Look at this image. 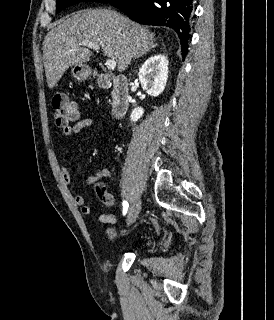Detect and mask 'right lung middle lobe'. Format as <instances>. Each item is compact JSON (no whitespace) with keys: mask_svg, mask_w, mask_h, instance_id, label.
Here are the masks:
<instances>
[{"mask_svg":"<svg viewBox=\"0 0 274 320\" xmlns=\"http://www.w3.org/2000/svg\"><path fill=\"white\" fill-rule=\"evenodd\" d=\"M92 1L100 3H108L111 0H56V12L62 11L64 8L80 2Z\"/></svg>","mask_w":274,"mask_h":320,"instance_id":"1","label":"right lung middle lobe"}]
</instances>
